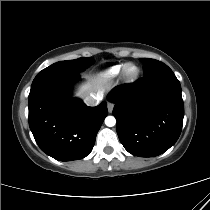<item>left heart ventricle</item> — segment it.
I'll use <instances>...</instances> for the list:
<instances>
[{
    "mask_svg": "<svg viewBox=\"0 0 210 210\" xmlns=\"http://www.w3.org/2000/svg\"><path fill=\"white\" fill-rule=\"evenodd\" d=\"M133 71H134V68H131V69H130V72H133Z\"/></svg>",
    "mask_w": 210,
    "mask_h": 210,
    "instance_id": "obj_1",
    "label": "left heart ventricle"
}]
</instances>
